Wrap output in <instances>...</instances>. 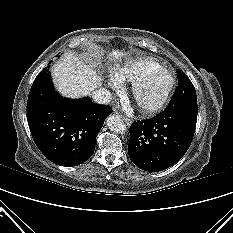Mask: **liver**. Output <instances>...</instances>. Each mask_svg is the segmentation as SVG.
<instances>
[{
    "label": "liver",
    "instance_id": "1",
    "mask_svg": "<svg viewBox=\"0 0 233 233\" xmlns=\"http://www.w3.org/2000/svg\"><path fill=\"white\" fill-rule=\"evenodd\" d=\"M123 51H113V58L122 57ZM55 86L58 91L67 97L78 98L89 95L101 84V78L97 75L93 65L86 60L69 53L61 62L52 69Z\"/></svg>",
    "mask_w": 233,
    "mask_h": 233
}]
</instances>
